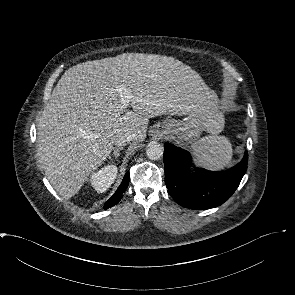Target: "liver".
Masks as SVG:
<instances>
[{
  "instance_id": "1",
  "label": "liver",
  "mask_w": 295,
  "mask_h": 295,
  "mask_svg": "<svg viewBox=\"0 0 295 295\" xmlns=\"http://www.w3.org/2000/svg\"><path fill=\"white\" fill-rule=\"evenodd\" d=\"M207 92L195 70L168 56L123 53L69 68L37 123L38 155L48 180L70 199L109 156L117 136L133 132L141 142L148 118L191 112ZM89 133L97 138H86Z\"/></svg>"
}]
</instances>
